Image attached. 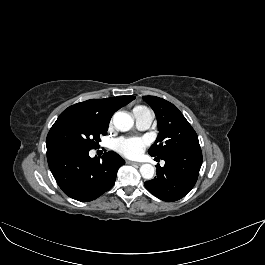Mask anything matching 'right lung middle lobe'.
Instances as JSON below:
<instances>
[{
    "label": "right lung middle lobe",
    "instance_id": "obj_1",
    "mask_svg": "<svg viewBox=\"0 0 265 265\" xmlns=\"http://www.w3.org/2000/svg\"><path fill=\"white\" fill-rule=\"evenodd\" d=\"M108 125L89 114L62 112L47 135V152L90 151L98 145L100 136L106 134Z\"/></svg>",
    "mask_w": 265,
    "mask_h": 265
}]
</instances>
